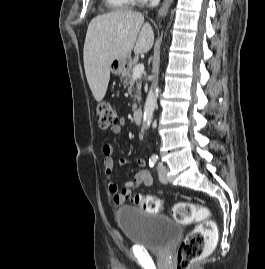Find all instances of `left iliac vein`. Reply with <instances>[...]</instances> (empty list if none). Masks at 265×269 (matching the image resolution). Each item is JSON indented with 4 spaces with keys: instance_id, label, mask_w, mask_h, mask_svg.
<instances>
[{
    "instance_id": "1",
    "label": "left iliac vein",
    "mask_w": 265,
    "mask_h": 269,
    "mask_svg": "<svg viewBox=\"0 0 265 269\" xmlns=\"http://www.w3.org/2000/svg\"><path fill=\"white\" fill-rule=\"evenodd\" d=\"M157 169H158L159 180L162 183L166 184L168 182L167 168L162 163H158Z\"/></svg>"
}]
</instances>
